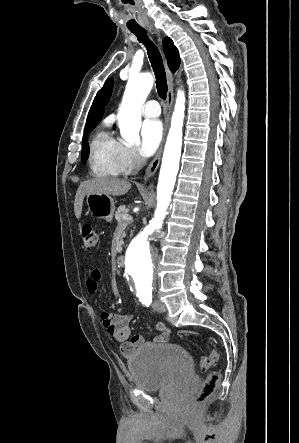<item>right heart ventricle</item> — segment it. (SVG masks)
Instances as JSON below:
<instances>
[{"label": "right heart ventricle", "mask_w": 299, "mask_h": 443, "mask_svg": "<svg viewBox=\"0 0 299 443\" xmlns=\"http://www.w3.org/2000/svg\"><path fill=\"white\" fill-rule=\"evenodd\" d=\"M120 142L106 130L98 131L90 144L89 166L93 176L116 177L122 173L119 164Z\"/></svg>", "instance_id": "obj_1"}]
</instances>
